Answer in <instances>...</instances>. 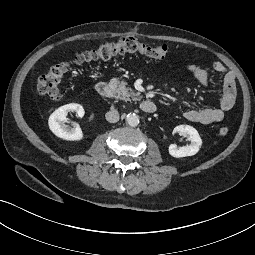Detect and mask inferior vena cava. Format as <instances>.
<instances>
[{"mask_svg": "<svg viewBox=\"0 0 255 255\" xmlns=\"http://www.w3.org/2000/svg\"><path fill=\"white\" fill-rule=\"evenodd\" d=\"M106 120L110 123H116L119 120V113L116 109H112L106 113Z\"/></svg>", "mask_w": 255, "mask_h": 255, "instance_id": "1", "label": "inferior vena cava"}]
</instances>
